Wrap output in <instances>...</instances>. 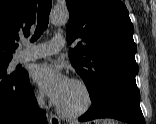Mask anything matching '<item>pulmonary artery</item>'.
Here are the masks:
<instances>
[{
  "instance_id": "obj_1",
  "label": "pulmonary artery",
  "mask_w": 156,
  "mask_h": 124,
  "mask_svg": "<svg viewBox=\"0 0 156 124\" xmlns=\"http://www.w3.org/2000/svg\"><path fill=\"white\" fill-rule=\"evenodd\" d=\"M65 46V39L61 35L54 36L50 41L24 49L18 55V63L59 53Z\"/></svg>"
}]
</instances>
